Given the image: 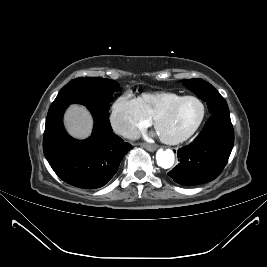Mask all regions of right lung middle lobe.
<instances>
[{"label": "right lung middle lobe", "mask_w": 267, "mask_h": 267, "mask_svg": "<svg viewBox=\"0 0 267 267\" xmlns=\"http://www.w3.org/2000/svg\"><path fill=\"white\" fill-rule=\"evenodd\" d=\"M119 84L111 79L101 77L76 78L66 84L51 104L48 113L79 103L109 114L110 102Z\"/></svg>", "instance_id": "right-lung-middle-lobe-1"}]
</instances>
